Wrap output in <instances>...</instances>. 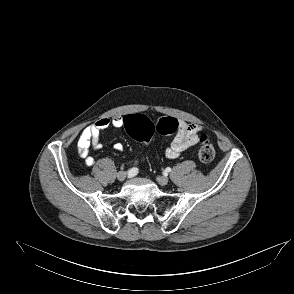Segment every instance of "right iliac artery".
I'll use <instances>...</instances> for the list:
<instances>
[{"mask_svg": "<svg viewBox=\"0 0 294 294\" xmlns=\"http://www.w3.org/2000/svg\"><path fill=\"white\" fill-rule=\"evenodd\" d=\"M138 173V169L137 168H132L128 171V175L130 177L135 176Z\"/></svg>", "mask_w": 294, "mask_h": 294, "instance_id": "1", "label": "right iliac artery"}]
</instances>
